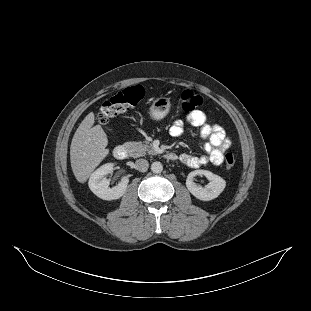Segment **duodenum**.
<instances>
[{"label":"duodenum","instance_id":"obj_1","mask_svg":"<svg viewBox=\"0 0 311 311\" xmlns=\"http://www.w3.org/2000/svg\"><path fill=\"white\" fill-rule=\"evenodd\" d=\"M113 155L116 159L123 160L127 157V149L122 145H118L114 148ZM166 158L169 160H175L177 156L174 153H167Z\"/></svg>","mask_w":311,"mask_h":311}]
</instances>
